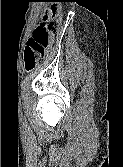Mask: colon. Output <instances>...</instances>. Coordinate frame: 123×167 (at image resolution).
<instances>
[{
	"mask_svg": "<svg viewBox=\"0 0 123 167\" xmlns=\"http://www.w3.org/2000/svg\"><path fill=\"white\" fill-rule=\"evenodd\" d=\"M61 9L50 7L45 11L43 22L37 26L27 41L24 56V67L26 72L34 70L37 62L41 59L61 25Z\"/></svg>",
	"mask_w": 123,
	"mask_h": 167,
	"instance_id": "5ec220e1",
	"label": "colon"
}]
</instances>
